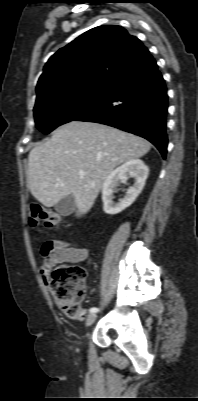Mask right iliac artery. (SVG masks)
I'll return each instance as SVG.
<instances>
[{
    "label": "right iliac artery",
    "instance_id": "right-iliac-artery-1",
    "mask_svg": "<svg viewBox=\"0 0 198 401\" xmlns=\"http://www.w3.org/2000/svg\"><path fill=\"white\" fill-rule=\"evenodd\" d=\"M98 310H99L98 308L92 307V308H90L89 311H90L91 313H96V312H98Z\"/></svg>",
    "mask_w": 198,
    "mask_h": 401
}]
</instances>
